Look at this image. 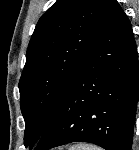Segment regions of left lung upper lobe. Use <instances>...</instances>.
<instances>
[{
  "label": "left lung upper lobe",
  "mask_w": 139,
  "mask_h": 150,
  "mask_svg": "<svg viewBox=\"0 0 139 150\" xmlns=\"http://www.w3.org/2000/svg\"><path fill=\"white\" fill-rule=\"evenodd\" d=\"M116 0H57L39 19L20 81L24 144L40 139Z\"/></svg>",
  "instance_id": "5c2ea615"
}]
</instances>
